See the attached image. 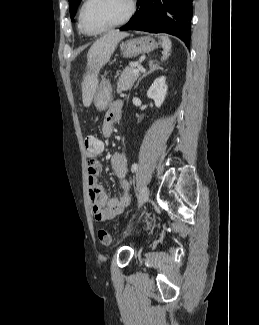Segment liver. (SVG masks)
I'll return each instance as SVG.
<instances>
[{"label":"liver","instance_id":"liver-1","mask_svg":"<svg viewBox=\"0 0 259 325\" xmlns=\"http://www.w3.org/2000/svg\"><path fill=\"white\" fill-rule=\"evenodd\" d=\"M129 34L126 32L111 31L98 39L89 49L87 54L88 65L92 71V75L87 77L82 84L83 104L85 107H89L94 93L97 89L98 80L97 73L100 68L105 65L119 41L127 37Z\"/></svg>","mask_w":259,"mask_h":325}]
</instances>
